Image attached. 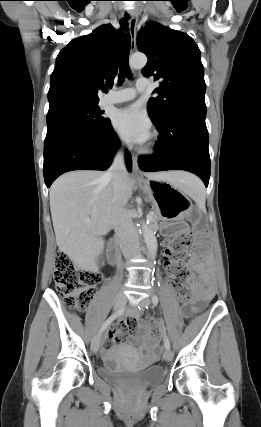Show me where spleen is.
Returning a JSON list of instances; mask_svg holds the SVG:
<instances>
[{"label": "spleen", "instance_id": "3e777b00", "mask_svg": "<svg viewBox=\"0 0 261 427\" xmlns=\"http://www.w3.org/2000/svg\"><path fill=\"white\" fill-rule=\"evenodd\" d=\"M185 179L184 191L191 196L199 205L205 204V189L203 184L194 176L188 174Z\"/></svg>", "mask_w": 261, "mask_h": 427}]
</instances>
